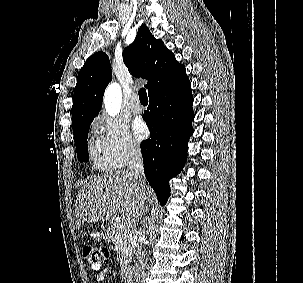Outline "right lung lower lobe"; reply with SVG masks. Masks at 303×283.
<instances>
[{
	"label": "right lung lower lobe",
	"mask_w": 303,
	"mask_h": 283,
	"mask_svg": "<svg viewBox=\"0 0 303 283\" xmlns=\"http://www.w3.org/2000/svg\"><path fill=\"white\" fill-rule=\"evenodd\" d=\"M145 120L150 138L141 143L144 173L158 201L170 196L169 180L184 167L193 133V96L186 75L149 96Z\"/></svg>",
	"instance_id": "obj_1"
}]
</instances>
